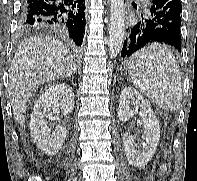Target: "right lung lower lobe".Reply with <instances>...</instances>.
Segmentation results:
<instances>
[{
    "label": "right lung lower lobe",
    "instance_id": "1",
    "mask_svg": "<svg viewBox=\"0 0 197 181\" xmlns=\"http://www.w3.org/2000/svg\"><path fill=\"white\" fill-rule=\"evenodd\" d=\"M85 0H23L19 25L51 29L81 46L85 32Z\"/></svg>",
    "mask_w": 197,
    "mask_h": 181
}]
</instances>
